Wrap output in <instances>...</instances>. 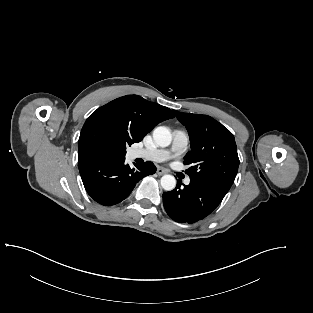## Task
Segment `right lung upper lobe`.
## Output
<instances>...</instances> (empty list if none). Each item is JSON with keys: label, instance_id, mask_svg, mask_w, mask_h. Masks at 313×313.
I'll return each instance as SVG.
<instances>
[{"label": "right lung upper lobe", "instance_id": "right-lung-upper-lobe-1", "mask_svg": "<svg viewBox=\"0 0 313 313\" xmlns=\"http://www.w3.org/2000/svg\"><path fill=\"white\" fill-rule=\"evenodd\" d=\"M173 117L169 108L138 95L117 98L87 118L79 137L78 164L125 158L126 146L140 142L158 123Z\"/></svg>", "mask_w": 313, "mask_h": 313}]
</instances>
